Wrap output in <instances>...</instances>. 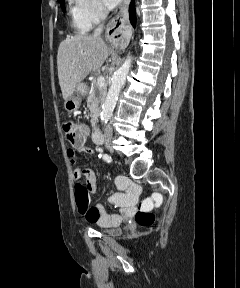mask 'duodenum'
I'll use <instances>...</instances> for the list:
<instances>
[{
  "label": "duodenum",
  "instance_id": "1",
  "mask_svg": "<svg viewBox=\"0 0 240 288\" xmlns=\"http://www.w3.org/2000/svg\"><path fill=\"white\" fill-rule=\"evenodd\" d=\"M99 117L98 115L94 114L92 117V127H93V140L97 143V144H101L103 142V136L102 133L99 129Z\"/></svg>",
  "mask_w": 240,
  "mask_h": 288
}]
</instances>
